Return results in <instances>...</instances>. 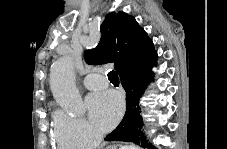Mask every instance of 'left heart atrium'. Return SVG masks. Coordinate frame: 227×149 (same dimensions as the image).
<instances>
[{
    "label": "left heart atrium",
    "instance_id": "obj_1",
    "mask_svg": "<svg viewBox=\"0 0 227 149\" xmlns=\"http://www.w3.org/2000/svg\"><path fill=\"white\" fill-rule=\"evenodd\" d=\"M87 106L93 124L101 131H108L122 115L123 99L115 91H105L90 95Z\"/></svg>",
    "mask_w": 227,
    "mask_h": 149
}]
</instances>
